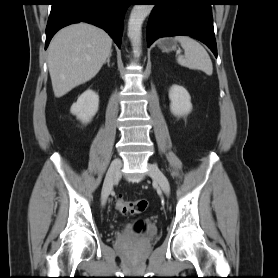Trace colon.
I'll list each match as a JSON object with an SVG mask.
<instances>
[{"instance_id": "1", "label": "colon", "mask_w": 278, "mask_h": 278, "mask_svg": "<svg viewBox=\"0 0 278 278\" xmlns=\"http://www.w3.org/2000/svg\"><path fill=\"white\" fill-rule=\"evenodd\" d=\"M148 207L146 199H139L136 201H125L122 199L117 200L116 209L121 214H140ZM145 224L143 221H138L135 224V230L140 232L144 229Z\"/></svg>"}]
</instances>
